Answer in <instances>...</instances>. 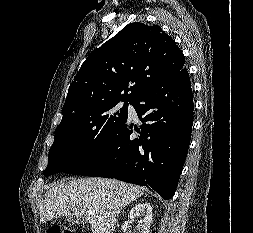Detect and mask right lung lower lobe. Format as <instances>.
Listing matches in <instances>:
<instances>
[{
    "label": "right lung lower lobe",
    "mask_w": 253,
    "mask_h": 233,
    "mask_svg": "<svg viewBox=\"0 0 253 233\" xmlns=\"http://www.w3.org/2000/svg\"><path fill=\"white\" fill-rule=\"evenodd\" d=\"M142 125L125 120L98 151L63 170L152 187L165 200L178 185L193 124V96L186 68L163 76L132 102ZM138 134L132 136L133 131Z\"/></svg>",
    "instance_id": "right-lung-lower-lobe-1"
}]
</instances>
